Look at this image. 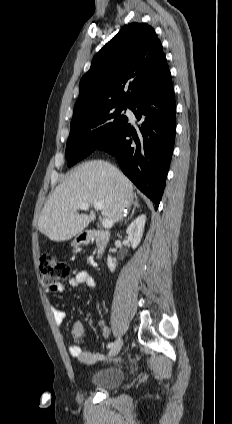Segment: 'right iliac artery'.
<instances>
[{"instance_id": "1", "label": "right iliac artery", "mask_w": 232, "mask_h": 424, "mask_svg": "<svg viewBox=\"0 0 232 424\" xmlns=\"http://www.w3.org/2000/svg\"><path fill=\"white\" fill-rule=\"evenodd\" d=\"M113 345H114V343H113V342H111V343H109V344L107 345V347H108V348H111V347H113Z\"/></svg>"}]
</instances>
